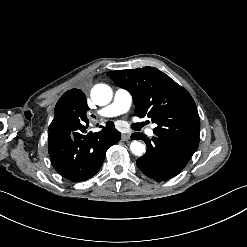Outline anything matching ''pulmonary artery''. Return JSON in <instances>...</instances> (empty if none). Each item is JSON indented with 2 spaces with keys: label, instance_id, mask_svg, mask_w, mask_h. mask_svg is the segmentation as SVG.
I'll return each instance as SVG.
<instances>
[{
  "label": "pulmonary artery",
  "instance_id": "e3ab8cb5",
  "mask_svg": "<svg viewBox=\"0 0 247 247\" xmlns=\"http://www.w3.org/2000/svg\"><path fill=\"white\" fill-rule=\"evenodd\" d=\"M133 102L132 93L124 88H117L114 93V98L111 104L103 107L102 109L95 112V115L100 118H110L115 117L123 112H126L130 109ZM90 121H93L92 118H89ZM155 125H152L147 133L150 136H155L154 132Z\"/></svg>",
  "mask_w": 247,
  "mask_h": 247
}]
</instances>
